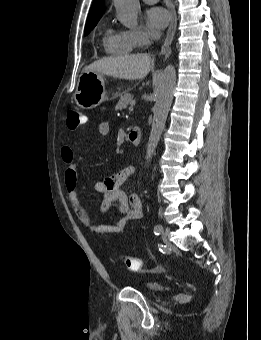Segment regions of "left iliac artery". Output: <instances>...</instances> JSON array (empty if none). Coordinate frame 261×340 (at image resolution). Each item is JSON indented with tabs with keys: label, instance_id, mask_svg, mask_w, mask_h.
I'll use <instances>...</instances> for the list:
<instances>
[{
	"label": "left iliac artery",
	"instance_id": "left-iliac-artery-1",
	"mask_svg": "<svg viewBox=\"0 0 261 340\" xmlns=\"http://www.w3.org/2000/svg\"><path fill=\"white\" fill-rule=\"evenodd\" d=\"M163 230V227H162V225H156L155 227H154V234L155 235H159L160 233H161V231Z\"/></svg>",
	"mask_w": 261,
	"mask_h": 340
}]
</instances>
